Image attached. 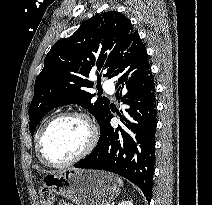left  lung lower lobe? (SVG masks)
Returning a JSON list of instances; mask_svg holds the SVG:
<instances>
[{
    "label": "left lung lower lobe",
    "mask_w": 212,
    "mask_h": 205,
    "mask_svg": "<svg viewBox=\"0 0 212 205\" xmlns=\"http://www.w3.org/2000/svg\"><path fill=\"white\" fill-rule=\"evenodd\" d=\"M117 94L127 108L117 112L121 126L110 124V107L100 125L94 150L74 165L116 173L139 186L148 202L152 197L155 165L156 99L155 84L145 45L138 35L111 75Z\"/></svg>",
    "instance_id": "obj_1"
}]
</instances>
